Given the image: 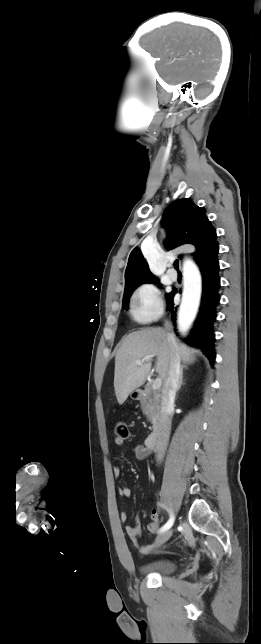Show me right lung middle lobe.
<instances>
[{
  "label": "right lung middle lobe",
  "mask_w": 261,
  "mask_h": 644,
  "mask_svg": "<svg viewBox=\"0 0 261 644\" xmlns=\"http://www.w3.org/2000/svg\"><path fill=\"white\" fill-rule=\"evenodd\" d=\"M142 283H158V281L140 282V283H136V284L132 285L131 287H129V288H127V289H125V290H124V296H123V305H122V308H124V309H128L129 299H130V296H131V294H132L133 290H134L136 287H138L140 284H142ZM172 294H173V292L168 293V294L166 295L167 300L172 296Z\"/></svg>",
  "instance_id": "right-lung-middle-lobe-1"
}]
</instances>
